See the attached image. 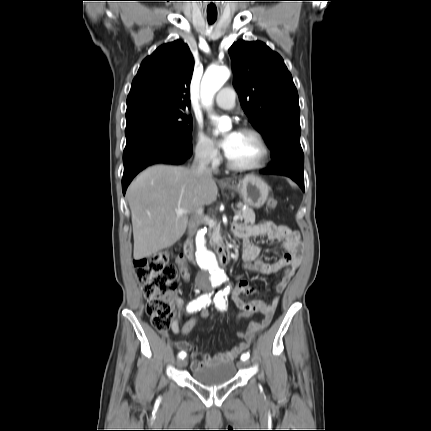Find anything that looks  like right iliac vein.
Listing matches in <instances>:
<instances>
[{
	"mask_svg": "<svg viewBox=\"0 0 431 431\" xmlns=\"http://www.w3.org/2000/svg\"><path fill=\"white\" fill-rule=\"evenodd\" d=\"M186 364H187V361L186 360H178L177 361V366L179 367V368H183V367H185L186 366Z\"/></svg>",
	"mask_w": 431,
	"mask_h": 431,
	"instance_id": "63e3f726",
	"label": "right iliac vein"
}]
</instances>
